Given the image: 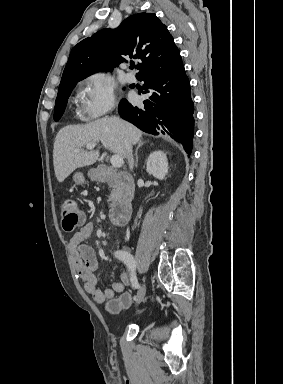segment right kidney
<instances>
[{"label":"right kidney","mask_w":283,"mask_h":384,"mask_svg":"<svg viewBox=\"0 0 283 384\" xmlns=\"http://www.w3.org/2000/svg\"><path fill=\"white\" fill-rule=\"evenodd\" d=\"M147 172L152 174L154 178L158 180H164L168 172V162L166 154L158 150V152H152L147 160Z\"/></svg>","instance_id":"right-kidney-1"}]
</instances>
